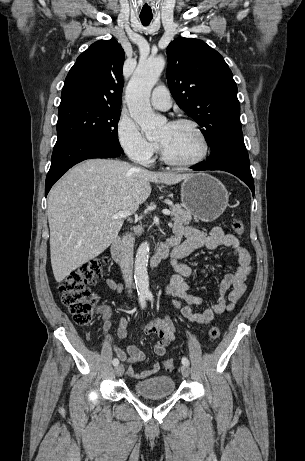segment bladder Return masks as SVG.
<instances>
[{
	"label": "bladder",
	"instance_id": "31cf9c89",
	"mask_svg": "<svg viewBox=\"0 0 305 461\" xmlns=\"http://www.w3.org/2000/svg\"><path fill=\"white\" fill-rule=\"evenodd\" d=\"M134 392L143 397L161 398L174 393L175 384L170 376L156 375L133 384Z\"/></svg>",
	"mask_w": 305,
	"mask_h": 461
}]
</instances>
